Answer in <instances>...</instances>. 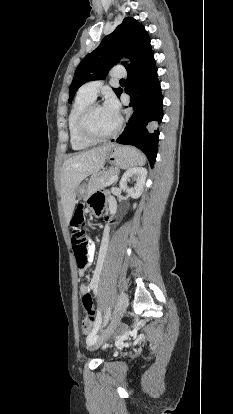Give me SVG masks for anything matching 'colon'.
<instances>
[{
    "label": "colon",
    "mask_w": 233,
    "mask_h": 414,
    "mask_svg": "<svg viewBox=\"0 0 233 414\" xmlns=\"http://www.w3.org/2000/svg\"><path fill=\"white\" fill-rule=\"evenodd\" d=\"M72 244L78 267L84 268L88 264V235L84 229V215L81 207H78L71 220ZM82 303L84 316L82 329L84 332H91L95 322L93 299L89 292L83 294Z\"/></svg>",
    "instance_id": "obj_1"
}]
</instances>
